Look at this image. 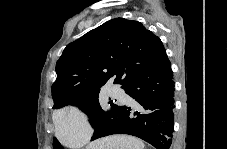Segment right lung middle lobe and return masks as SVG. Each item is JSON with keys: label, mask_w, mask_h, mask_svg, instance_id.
<instances>
[{"label": "right lung middle lobe", "mask_w": 227, "mask_h": 149, "mask_svg": "<svg viewBox=\"0 0 227 149\" xmlns=\"http://www.w3.org/2000/svg\"><path fill=\"white\" fill-rule=\"evenodd\" d=\"M99 92H100V88L95 89L79 98L66 100L60 105L54 106L53 108H60L67 104L76 105L89 116L91 125L94 128H97L100 124H102L107 119H109L120 107L114 104L113 101H110L109 103L111 104V110L109 111L108 114H106L101 109V106L99 104V100H98ZM53 146H54V149H63L60 143L55 138H54Z\"/></svg>", "instance_id": "right-lung-middle-lobe-1"}]
</instances>
